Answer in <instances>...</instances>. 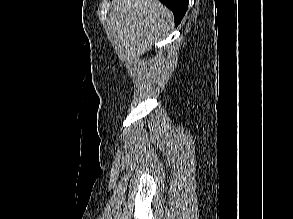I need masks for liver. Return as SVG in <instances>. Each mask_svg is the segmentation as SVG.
<instances>
[{"label": "liver", "instance_id": "1", "mask_svg": "<svg viewBox=\"0 0 293 219\" xmlns=\"http://www.w3.org/2000/svg\"><path fill=\"white\" fill-rule=\"evenodd\" d=\"M173 14L158 0H113L110 29L120 55L132 62L149 51L173 24Z\"/></svg>", "mask_w": 293, "mask_h": 219}]
</instances>
